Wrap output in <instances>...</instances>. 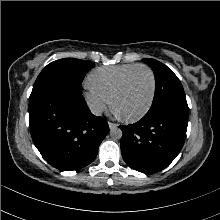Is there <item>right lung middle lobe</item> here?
Listing matches in <instances>:
<instances>
[{
	"label": "right lung middle lobe",
	"instance_id": "obj_1",
	"mask_svg": "<svg viewBox=\"0 0 220 220\" xmlns=\"http://www.w3.org/2000/svg\"><path fill=\"white\" fill-rule=\"evenodd\" d=\"M94 66L91 61L75 58L53 61L41 71L33 90L46 86H64L80 91L85 75Z\"/></svg>",
	"mask_w": 220,
	"mask_h": 220
}]
</instances>
